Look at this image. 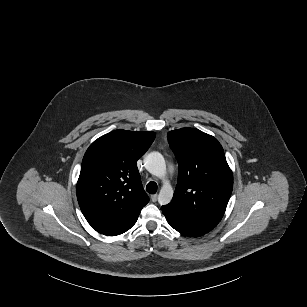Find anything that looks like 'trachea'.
<instances>
[{
	"label": "trachea",
	"mask_w": 307,
	"mask_h": 307,
	"mask_svg": "<svg viewBox=\"0 0 307 307\" xmlns=\"http://www.w3.org/2000/svg\"><path fill=\"white\" fill-rule=\"evenodd\" d=\"M146 191L150 194H155L157 192V183H155L154 181H150L146 185Z\"/></svg>",
	"instance_id": "obj_1"
}]
</instances>
